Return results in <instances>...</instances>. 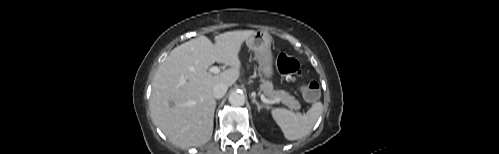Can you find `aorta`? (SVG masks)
<instances>
[{
	"instance_id": "1",
	"label": "aorta",
	"mask_w": 499,
	"mask_h": 154,
	"mask_svg": "<svg viewBox=\"0 0 499 154\" xmlns=\"http://www.w3.org/2000/svg\"><path fill=\"white\" fill-rule=\"evenodd\" d=\"M228 101L233 106H242L245 103V95L243 92L234 91L229 95Z\"/></svg>"
}]
</instances>
